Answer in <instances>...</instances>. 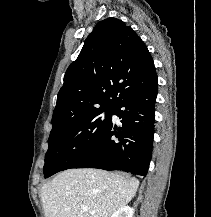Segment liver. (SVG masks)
Listing matches in <instances>:
<instances>
[{
    "label": "liver",
    "mask_w": 211,
    "mask_h": 217,
    "mask_svg": "<svg viewBox=\"0 0 211 217\" xmlns=\"http://www.w3.org/2000/svg\"><path fill=\"white\" fill-rule=\"evenodd\" d=\"M138 186L136 178L120 173L68 169L44 184L40 196L45 217H111L132 200Z\"/></svg>",
    "instance_id": "obj_1"
}]
</instances>
